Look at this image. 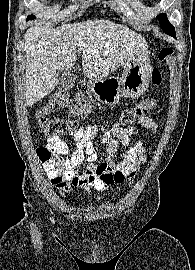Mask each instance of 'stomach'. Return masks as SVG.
Instances as JSON below:
<instances>
[{"label":"stomach","instance_id":"1","mask_svg":"<svg viewBox=\"0 0 195 270\" xmlns=\"http://www.w3.org/2000/svg\"><path fill=\"white\" fill-rule=\"evenodd\" d=\"M148 45L138 50L132 59L124 65L121 79L109 77L90 80V89L94 97L104 104L116 105L121 96L140 97L148 88L152 73Z\"/></svg>","mask_w":195,"mask_h":270}]
</instances>
